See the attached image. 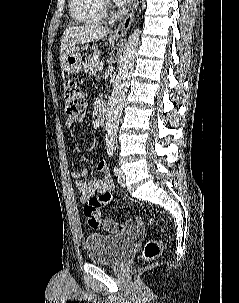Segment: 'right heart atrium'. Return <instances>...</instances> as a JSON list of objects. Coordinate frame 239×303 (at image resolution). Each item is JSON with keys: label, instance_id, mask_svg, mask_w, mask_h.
I'll return each instance as SVG.
<instances>
[{"label": "right heart atrium", "instance_id": "d8ad5b80", "mask_svg": "<svg viewBox=\"0 0 239 303\" xmlns=\"http://www.w3.org/2000/svg\"><path fill=\"white\" fill-rule=\"evenodd\" d=\"M106 7H109V4H105Z\"/></svg>", "mask_w": 239, "mask_h": 303}]
</instances>
